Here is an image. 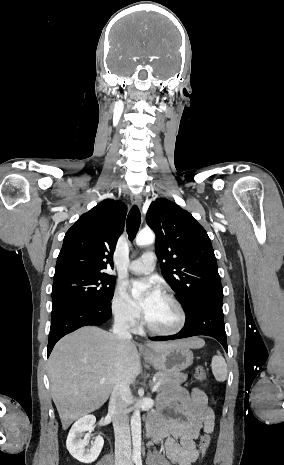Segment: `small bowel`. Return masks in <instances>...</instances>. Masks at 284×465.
I'll return each instance as SVG.
<instances>
[{"label": "small bowel", "instance_id": "1", "mask_svg": "<svg viewBox=\"0 0 284 465\" xmlns=\"http://www.w3.org/2000/svg\"><path fill=\"white\" fill-rule=\"evenodd\" d=\"M161 400L164 406L149 421L148 434L173 465H192L200 456L196 439L200 434L210 437L215 426L207 396L199 388L189 391L178 386L163 393Z\"/></svg>", "mask_w": 284, "mask_h": 465}]
</instances>
